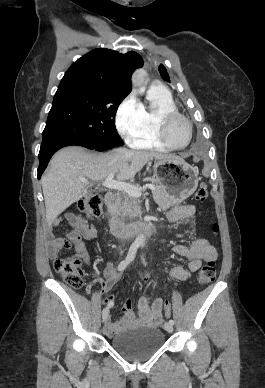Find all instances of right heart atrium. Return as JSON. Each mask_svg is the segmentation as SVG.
Wrapping results in <instances>:
<instances>
[{
    "mask_svg": "<svg viewBox=\"0 0 265 388\" xmlns=\"http://www.w3.org/2000/svg\"><path fill=\"white\" fill-rule=\"evenodd\" d=\"M142 105L131 94L120 105L117 113V124L122 137L125 140H132V138L142 128Z\"/></svg>",
    "mask_w": 265,
    "mask_h": 388,
    "instance_id": "1",
    "label": "right heart atrium"
}]
</instances>
